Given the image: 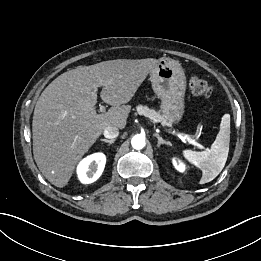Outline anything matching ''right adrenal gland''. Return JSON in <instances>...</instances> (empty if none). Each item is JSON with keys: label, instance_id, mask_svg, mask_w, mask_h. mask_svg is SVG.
I'll use <instances>...</instances> for the list:
<instances>
[{"label": "right adrenal gland", "instance_id": "1", "mask_svg": "<svg viewBox=\"0 0 261 261\" xmlns=\"http://www.w3.org/2000/svg\"><path fill=\"white\" fill-rule=\"evenodd\" d=\"M100 141L106 142L108 144H112L115 140L114 139H112V140L100 139Z\"/></svg>", "mask_w": 261, "mask_h": 261}]
</instances>
